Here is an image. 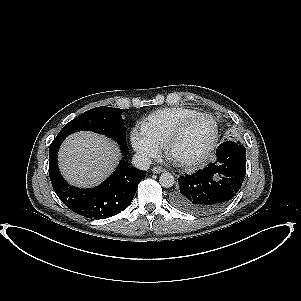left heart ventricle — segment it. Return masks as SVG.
Here are the masks:
<instances>
[{
    "label": "left heart ventricle",
    "instance_id": "1",
    "mask_svg": "<svg viewBox=\"0 0 301 301\" xmlns=\"http://www.w3.org/2000/svg\"><path fill=\"white\" fill-rule=\"evenodd\" d=\"M212 135L213 123L206 118L197 119L174 144L172 156L180 161L199 156L210 143Z\"/></svg>",
    "mask_w": 301,
    "mask_h": 301
}]
</instances>
